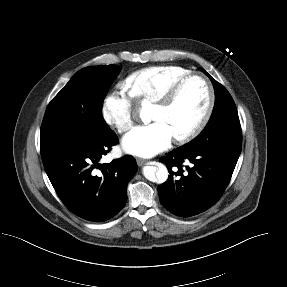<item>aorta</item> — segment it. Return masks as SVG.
Segmentation results:
<instances>
[{
  "mask_svg": "<svg viewBox=\"0 0 287 287\" xmlns=\"http://www.w3.org/2000/svg\"><path fill=\"white\" fill-rule=\"evenodd\" d=\"M142 173L146 179L151 182L164 183L168 179V170L165 165L157 164L155 166H145Z\"/></svg>",
  "mask_w": 287,
  "mask_h": 287,
  "instance_id": "obj_1",
  "label": "aorta"
}]
</instances>
